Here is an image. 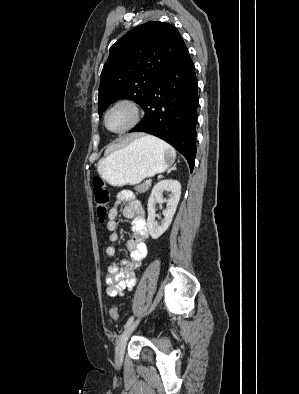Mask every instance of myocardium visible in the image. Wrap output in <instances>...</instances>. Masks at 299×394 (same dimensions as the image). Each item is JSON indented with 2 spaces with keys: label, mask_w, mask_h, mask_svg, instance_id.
<instances>
[{
  "label": "myocardium",
  "mask_w": 299,
  "mask_h": 394,
  "mask_svg": "<svg viewBox=\"0 0 299 394\" xmlns=\"http://www.w3.org/2000/svg\"><path fill=\"white\" fill-rule=\"evenodd\" d=\"M118 107H126L129 109L130 113H131V119L129 121V123L123 127L122 129L119 130H112L108 127L107 125V118L108 115L116 108ZM142 118V110L141 107L138 105L137 102H135L134 100L131 99H119L117 101H115L113 104H111L107 110L104 113V126L105 128L111 132V133H115V134H123L128 132L129 130L133 129L134 127H136L138 125V123L141 121Z\"/></svg>",
  "instance_id": "obj_1"
}]
</instances>
